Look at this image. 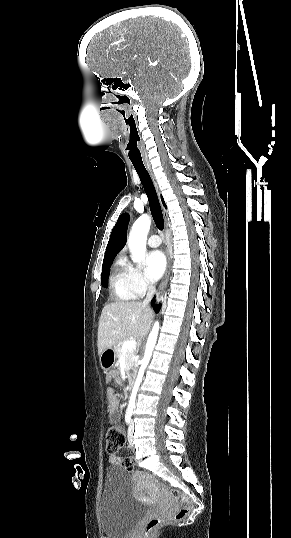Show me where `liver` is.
Listing matches in <instances>:
<instances>
[{
  "mask_svg": "<svg viewBox=\"0 0 291 538\" xmlns=\"http://www.w3.org/2000/svg\"><path fill=\"white\" fill-rule=\"evenodd\" d=\"M152 319L153 311L140 301L106 304L98 324V354L130 336L143 339L149 332Z\"/></svg>",
  "mask_w": 291,
  "mask_h": 538,
  "instance_id": "obj_1",
  "label": "liver"
}]
</instances>
